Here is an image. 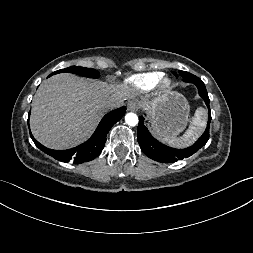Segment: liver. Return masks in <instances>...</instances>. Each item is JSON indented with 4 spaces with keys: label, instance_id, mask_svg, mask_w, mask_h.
Listing matches in <instances>:
<instances>
[{
    "label": "liver",
    "instance_id": "1",
    "mask_svg": "<svg viewBox=\"0 0 253 253\" xmlns=\"http://www.w3.org/2000/svg\"><path fill=\"white\" fill-rule=\"evenodd\" d=\"M126 84L91 81L62 73L45 80L32 101L33 136L51 149H67L85 140L111 102L123 105L137 96Z\"/></svg>",
    "mask_w": 253,
    "mask_h": 253
}]
</instances>
